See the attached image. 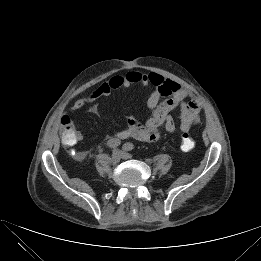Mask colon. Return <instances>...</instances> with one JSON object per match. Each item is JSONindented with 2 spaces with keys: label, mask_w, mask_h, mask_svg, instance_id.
Returning <instances> with one entry per match:
<instances>
[{
  "label": "colon",
  "mask_w": 261,
  "mask_h": 261,
  "mask_svg": "<svg viewBox=\"0 0 261 261\" xmlns=\"http://www.w3.org/2000/svg\"><path fill=\"white\" fill-rule=\"evenodd\" d=\"M61 135L62 140L66 144H71L74 142L76 137V131L74 129L73 123L68 115H64L61 118ZM195 147L194 139L189 135V133H183L181 136V148L183 151L188 152L191 151Z\"/></svg>",
  "instance_id": "5ec220e1"
}]
</instances>
